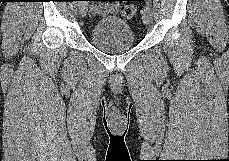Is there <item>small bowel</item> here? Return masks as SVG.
Listing matches in <instances>:
<instances>
[{
  "instance_id": "obj_1",
  "label": "small bowel",
  "mask_w": 229,
  "mask_h": 161,
  "mask_svg": "<svg viewBox=\"0 0 229 161\" xmlns=\"http://www.w3.org/2000/svg\"><path fill=\"white\" fill-rule=\"evenodd\" d=\"M118 10L117 4H111L108 8L104 10V13H115Z\"/></svg>"
}]
</instances>
